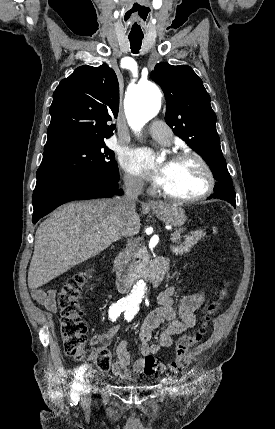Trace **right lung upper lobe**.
Returning a JSON list of instances; mask_svg holds the SVG:
<instances>
[{
	"mask_svg": "<svg viewBox=\"0 0 275 429\" xmlns=\"http://www.w3.org/2000/svg\"><path fill=\"white\" fill-rule=\"evenodd\" d=\"M118 107L119 84L113 69L105 64L78 67L53 93L44 153L110 137L115 128L110 121L117 118Z\"/></svg>",
	"mask_w": 275,
	"mask_h": 429,
	"instance_id": "obj_1",
	"label": "right lung upper lobe"
}]
</instances>
